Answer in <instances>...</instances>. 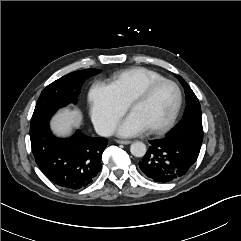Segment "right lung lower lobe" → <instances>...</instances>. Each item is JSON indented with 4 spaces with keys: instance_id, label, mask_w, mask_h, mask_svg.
Wrapping results in <instances>:
<instances>
[{
    "instance_id": "obj_1",
    "label": "right lung lower lobe",
    "mask_w": 241,
    "mask_h": 241,
    "mask_svg": "<svg viewBox=\"0 0 241 241\" xmlns=\"http://www.w3.org/2000/svg\"><path fill=\"white\" fill-rule=\"evenodd\" d=\"M32 152L42 173L66 189L89 185L101 169L107 139L93 138L79 130L70 138H56L49 123L30 134Z\"/></svg>"
}]
</instances>
